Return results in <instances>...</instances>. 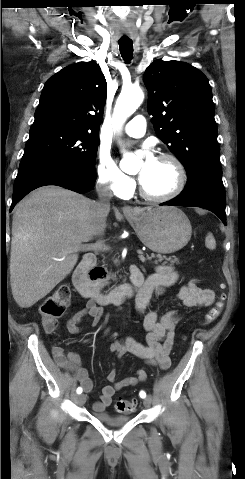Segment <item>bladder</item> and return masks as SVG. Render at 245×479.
<instances>
[{
    "instance_id": "31cf9c89",
    "label": "bladder",
    "mask_w": 245,
    "mask_h": 479,
    "mask_svg": "<svg viewBox=\"0 0 245 479\" xmlns=\"http://www.w3.org/2000/svg\"><path fill=\"white\" fill-rule=\"evenodd\" d=\"M94 418L110 426H121L131 420V416L128 415L111 416L107 413H95Z\"/></svg>"
}]
</instances>
